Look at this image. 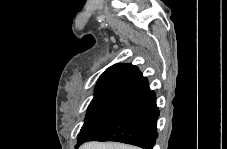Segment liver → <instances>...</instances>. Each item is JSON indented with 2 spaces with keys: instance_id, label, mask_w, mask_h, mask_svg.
<instances>
[{
  "instance_id": "liver-1",
  "label": "liver",
  "mask_w": 227,
  "mask_h": 149,
  "mask_svg": "<svg viewBox=\"0 0 227 149\" xmlns=\"http://www.w3.org/2000/svg\"><path fill=\"white\" fill-rule=\"evenodd\" d=\"M81 149H137L134 146L124 145L120 143H100V142H90L84 144Z\"/></svg>"
}]
</instances>
